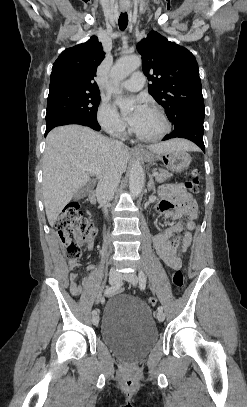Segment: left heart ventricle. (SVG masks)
Listing matches in <instances>:
<instances>
[{
  "instance_id": "obj_1",
  "label": "left heart ventricle",
  "mask_w": 247,
  "mask_h": 407,
  "mask_svg": "<svg viewBox=\"0 0 247 407\" xmlns=\"http://www.w3.org/2000/svg\"><path fill=\"white\" fill-rule=\"evenodd\" d=\"M133 128L141 136L153 137L162 132L164 124L155 112L146 109L138 123L133 126Z\"/></svg>"
}]
</instances>
